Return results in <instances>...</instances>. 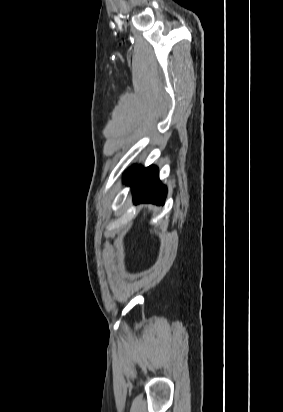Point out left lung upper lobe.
Returning a JSON list of instances; mask_svg holds the SVG:
<instances>
[{
	"mask_svg": "<svg viewBox=\"0 0 283 412\" xmlns=\"http://www.w3.org/2000/svg\"><path fill=\"white\" fill-rule=\"evenodd\" d=\"M136 166H133L132 168L128 169L124 175V182H126L132 175V173L134 172Z\"/></svg>",
	"mask_w": 283,
	"mask_h": 412,
	"instance_id": "5c2ea615",
	"label": "left lung upper lobe"
}]
</instances>
